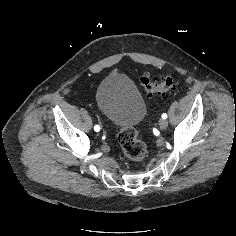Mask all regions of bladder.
Masks as SVG:
<instances>
[{"mask_svg":"<svg viewBox=\"0 0 236 236\" xmlns=\"http://www.w3.org/2000/svg\"><path fill=\"white\" fill-rule=\"evenodd\" d=\"M96 102L103 114L118 128L135 127L146 116L145 101L124 74L105 77L96 89Z\"/></svg>","mask_w":236,"mask_h":236,"instance_id":"bladder-1","label":"bladder"}]
</instances>
